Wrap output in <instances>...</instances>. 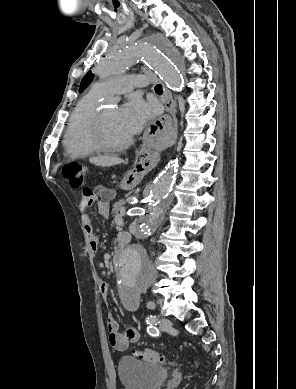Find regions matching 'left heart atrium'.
<instances>
[{"mask_svg":"<svg viewBox=\"0 0 296 389\" xmlns=\"http://www.w3.org/2000/svg\"><path fill=\"white\" fill-rule=\"evenodd\" d=\"M154 115V106L139 97H132L118 111L119 123L130 137L139 133Z\"/></svg>","mask_w":296,"mask_h":389,"instance_id":"left-heart-atrium-1","label":"left heart atrium"}]
</instances>
